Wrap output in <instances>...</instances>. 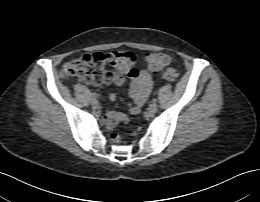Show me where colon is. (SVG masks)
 Returning a JSON list of instances; mask_svg holds the SVG:
<instances>
[{
  "mask_svg": "<svg viewBox=\"0 0 260 202\" xmlns=\"http://www.w3.org/2000/svg\"><path fill=\"white\" fill-rule=\"evenodd\" d=\"M133 61V54L127 50H115L108 54H86L66 62L61 69V75L67 79L101 85L111 82L115 74L108 69V63H111L120 74H126ZM172 62L173 57L163 52H153L147 56L149 69L159 71L161 78L167 81H174L178 77V72L168 67ZM111 139L116 143L120 142L116 133L111 134Z\"/></svg>",
  "mask_w": 260,
  "mask_h": 202,
  "instance_id": "1",
  "label": "colon"
}]
</instances>
